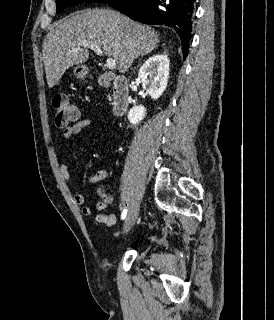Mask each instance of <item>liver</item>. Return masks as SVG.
I'll return each mask as SVG.
<instances>
[{"label": "liver", "instance_id": "obj_1", "mask_svg": "<svg viewBox=\"0 0 274 320\" xmlns=\"http://www.w3.org/2000/svg\"><path fill=\"white\" fill-rule=\"evenodd\" d=\"M82 42L96 44L116 60L121 74L128 72L134 60L152 52L160 42L158 32L150 26L133 22L114 10L89 8L74 12L55 24L42 46V56L49 88L58 84L64 72L89 60V50Z\"/></svg>", "mask_w": 274, "mask_h": 320}]
</instances>
